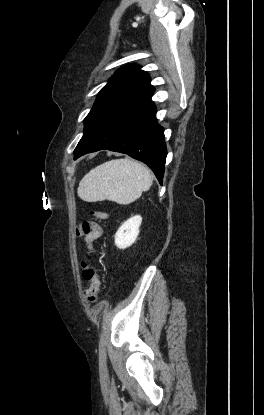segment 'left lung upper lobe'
<instances>
[{
	"label": "left lung upper lobe",
	"instance_id": "5c2ea615",
	"mask_svg": "<svg viewBox=\"0 0 264 415\" xmlns=\"http://www.w3.org/2000/svg\"><path fill=\"white\" fill-rule=\"evenodd\" d=\"M151 87L149 75L140 70L139 66L130 64L120 68L100 90L93 108L86 116L84 134L75 153L103 113L122 100L142 93Z\"/></svg>",
	"mask_w": 264,
	"mask_h": 415
}]
</instances>
